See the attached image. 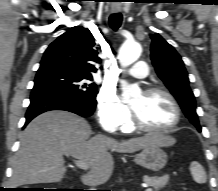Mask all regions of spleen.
<instances>
[{
  "label": "spleen",
  "instance_id": "spleen-1",
  "mask_svg": "<svg viewBox=\"0 0 218 191\" xmlns=\"http://www.w3.org/2000/svg\"><path fill=\"white\" fill-rule=\"evenodd\" d=\"M190 172L195 182L199 184L206 183V180H207L206 173L198 162H195V161L191 162Z\"/></svg>",
  "mask_w": 218,
  "mask_h": 191
}]
</instances>
